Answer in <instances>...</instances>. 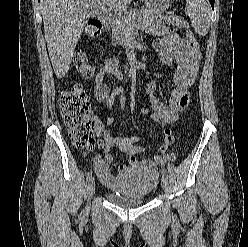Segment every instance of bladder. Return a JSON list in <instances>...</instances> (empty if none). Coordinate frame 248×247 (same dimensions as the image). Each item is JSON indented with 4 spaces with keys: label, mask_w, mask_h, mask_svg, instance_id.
Masks as SVG:
<instances>
[{
    "label": "bladder",
    "mask_w": 248,
    "mask_h": 247,
    "mask_svg": "<svg viewBox=\"0 0 248 247\" xmlns=\"http://www.w3.org/2000/svg\"><path fill=\"white\" fill-rule=\"evenodd\" d=\"M116 188L106 194L107 198L123 207L143 204L152 194L157 185L153 170L142 167H130L115 179Z\"/></svg>",
    "instance_id": "bladder-1"
}]
</instances>
